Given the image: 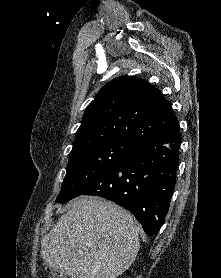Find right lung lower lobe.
I'll return each mask as SVG.
<instances>
[{
  "mask_svg": "<svg viewBox=\"0 0 221 278\" xmlns=\"http://www.w3.org/2000/svg\"><path fill=\"white\" fill-rule=\"evenodd\" d=\"M181 136L179 127L133 142L124 157L77 194L111 200L130 210L148 235L162 227L176 182Z\"/></svg>",
  "mask_w": 221,
  "mask_h": 278,
  "instance_id": "1",
  "label": "right lung lower lobe"
}]
</instances>
